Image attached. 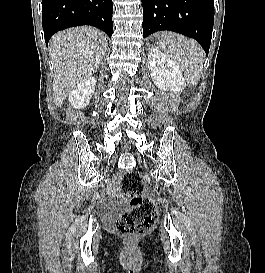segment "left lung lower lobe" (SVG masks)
I'll use <instances>...</instances> for the list:
<instances>
[{"instance_id":"1","label":"left lung lower lobe","mask_w":265,"mask_h":273,"mask_svg":"<svg viewBox=\"0 0 265 273\" xmlns=\"http://www.w3.org/2000/svg\"><path fill=\"white\" fill-rule=\"evenodd\" d=\"M143 37L169 30L199 42L206 54L211 43L214 0H142Z\"/></svg>"}]
</instances>
